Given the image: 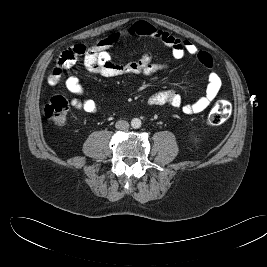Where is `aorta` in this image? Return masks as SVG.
<instances>
[{"instance_id":"762f6f07","label":"aorta","mask_w":267,"mask_h":267,"mask_svg":"<svg viewBox=\"0 0 267 267\" xmlns=\"http://www.w3.org/2000/svg\"><path fill=\"white\" fill-rule=\"evenodd\" d=\"M141 120L139 119V118H133L132 120H131V126H132V128H134V129H138V128H140L141 127Z\"/></svg>"}]
</instances>
